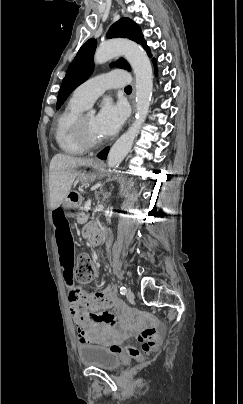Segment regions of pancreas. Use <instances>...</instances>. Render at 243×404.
I'll return each instance as SVG.
<instances>
[{
	"instance_id": "1",
	"label": "pancreas",
	"mask_w": 243,
	"mask_h": 404,
	"mask_svg": "<svg viewBox=\"0 0 243 404\" xmlns=\"http://www.w3.org/2000/svg\"><path fill=\"white\" fill-rule=\"evenodd\" d=\"M88 218H89V214H84V213H78L75 216V219H77L76 220L77 224H84L85 220H88Z\"/></svg>"
}]
</instances>
